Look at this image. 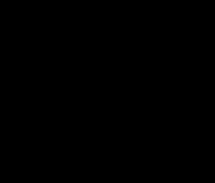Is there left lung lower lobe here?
I'll return each mask as SVG.
<instances>
[{
	"instance_id": "obj_1",
	"label": "left lung lower lobe",
	"mask_w": 215,
	"mask_h": 183,
	"mask_svg": "<svg viewBox=\"0 0 215 183\" xmlns=\"http://www.w3.org/2000/svg\"><path fill=\"white\" fill-rule=\"evenodd\" d=\"M156 113V123L153 128L148 130L132 131V137L140 144L151 145L165 137L173 131L180 122V118H174L170 113L165 111L154 103Z\"/></svg>"
}]
</instances>
